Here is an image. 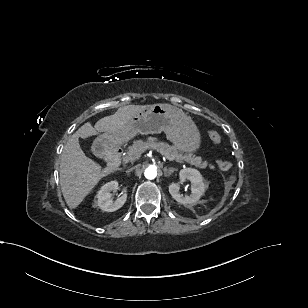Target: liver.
<instances>
[{
  "label": "liver",
  "mask_w": 308,
  "mask_h": 308,
  "mask_svg": "<svg viewBox=\"0 0 308 308\" xmlns=\"http://www.w3.org/2000/svg\"><path fill=\"white\" fill-rule=\"evenodd\" d=\"M152 105H127L118 108L110 116L101 118L94 127L90 122L82 125L64 146L60 162V185L64 199L70 209L76 208L101 178L111 170L88 158L79 144V138H88L99 132H121L128 126L130 118Z\"/></svg>",
  "instance_id": "obj_1"
}]
</instances>
